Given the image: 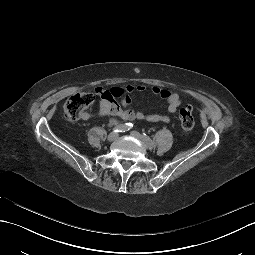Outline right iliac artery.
Here are the masks:
<instances>
[{
	"label": "right iliac artery",
	"mask_w": 255,
	"mask_h": 255,
	"mask_svg": "<svg viewBox=\"0 0 255 255\" xmlns=\"http://www.w3.org/2000/svg\"><path fill=\"white\" fill-rule=\"evenodd\" d=\"M132 127H133L132 123H125V124H121V125H118V126L114 127L113 131L115 133H117V132H125V131H128L129 129H131Z\"/></svg>",
	"instance_id": "right-iliac-artery-1"
}]
</instances>
